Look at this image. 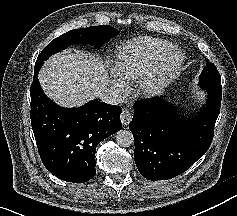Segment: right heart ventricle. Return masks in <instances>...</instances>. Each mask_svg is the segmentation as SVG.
Masks as SVG:
<instances>
[{
  "label": "right heart ventricle",
  "instance_id": "right-heart-ventricle-1",
  "mask_svg": "<svg viewBox=\"0 0 237 216\" xmlns=\"http://www.w3.org/2000/svg\"><path fill=\"white\" fill-rule=\"evenodd\" d=\"M169 41L142 36L113 49L108 55V66L115 72L118 83L135 85L139 83L147 68L153 66L161 50Z\"/></svg>",
  "mask_w": 237,
  "mask_h": 216
}]
</instances>
